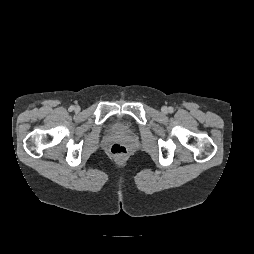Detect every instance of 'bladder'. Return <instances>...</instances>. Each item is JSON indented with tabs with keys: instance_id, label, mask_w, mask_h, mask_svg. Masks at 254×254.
Wrapping results in <instances>:
<instances>
[{
	"instance_id": "obj_1",
	"label": "bladder",
	"mask_w": 254,
	"mask_h": 254,
	"mask_svg": "<svg viewBox=\"0 0 254 254\" xmlns=\"http://www.w3.org/2000/svg\"><path fill=\"white\" fill-rule=\"evenodd\" d=\"M118 130H120V131H125L123 128H120V127H118Z\"/></svg>"
}]
</instances>
